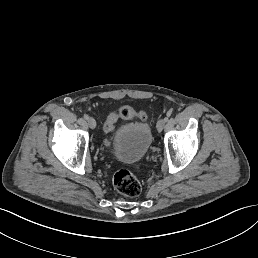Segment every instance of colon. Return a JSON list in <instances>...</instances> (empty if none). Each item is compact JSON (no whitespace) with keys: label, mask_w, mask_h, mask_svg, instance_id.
Returning <instances> with one entry per match:
<instances>
[{"label":"colon","mask_w":258,"mask_h":258,"mask_svg":"<svg viewBox=\"0 0 258 258\" xmlns=\"http://www.w3.org/2000/svg\"><path fill=\"white\" fill-rule=\"evenodd\" d=\"M145 119L144 112H136L130 106L124 105L119 110L111 114L105 123V132H112L116 122L119 120ZM115 189L124 196L136 197L141 193V184L137 177L128 169H120L113 177Z\"/></svg>","instance_id":"colon-1"}]
</instances>
